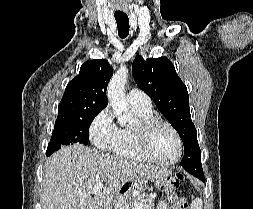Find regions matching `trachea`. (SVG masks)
Masks as SVG:
<instances>
[{
    "instance_id": "1",
    "label": "trachea",
    "mask_w": 253,
    "mask_h": 209,
    "mask_svg": "<svg viewBox=\"0 0 253 209\" xmlns=\"http://www.w3.org/2000/svg\"><path fill=\"white\" fill-rule=\"evenodd\" d=\"M115 20L118 28V35L120 38H126L129 34V19L126 14L115 15Z\"/></svg>"
}]
</instances>
